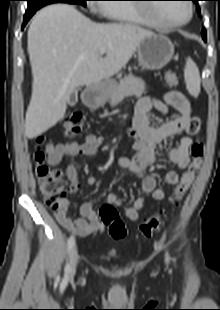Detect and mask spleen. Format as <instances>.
I'll return each mask as SVG.
<instances>
[{
	"label": "spleen",
	"mask_w": 220,
	"mask_h": 310,
	"mask_svg": "<svg viewBox=\"0 0 220 310\" xmlns=\"http://www.w3.org/2000/svg\"><path fill=\"white\" fill-rule=\"evenodd\" d=\"M185 80L189 93L194 97H198L200 93V75L198 67L191 58L186 63Z\"/></svg>",
	"instance_id": "3e777b00"
}]
</instances>
